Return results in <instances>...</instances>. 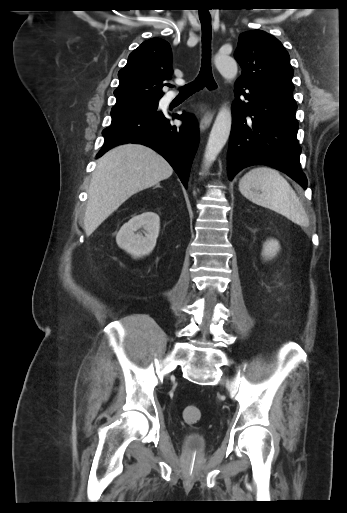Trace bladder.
<instances>
[{
  "instance_id": "obj_1",
  "label": "bladder",
  "mask_w": 347,
  "mask_h": 513,
  "mask_svg": "<svg viewBox=\"0 0 347 513\" xmlns=\"http://www.w3.org/2000/svg\"><path fill=\"white\" fill-rule=\"evenodd\" d=\"M207 446L205 436L198 433H188L184 438V448L189 452L202 453Z\"/></svg>"
}]
</instances>
